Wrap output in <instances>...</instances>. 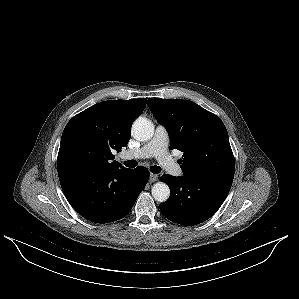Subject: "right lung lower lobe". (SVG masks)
Segmentation results:
<instances>
[{
    "label": "right lung lower lobe",
    "instance_id": "right-lung-lower-lobe-1",
    "mask_svg": "<svg viewBox=\"0 0 299 299\" xmlns=\"http://www.w3.org/2000/svg\"><path fill=\"white\" fill-rule=\"evenodd\" d=\"M148 178V170L141 166L91 174L59 175L62 190L71 206L85 219L95 223H108L125 217Z\"/></svg>",
    "mask_w": 299,
    "mask_h": 299
}]
</instances>
